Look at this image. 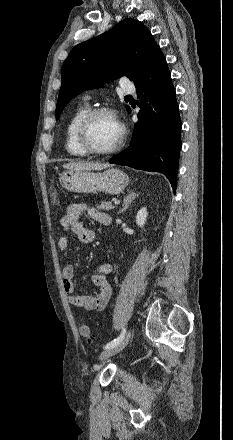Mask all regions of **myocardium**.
Returning a JSON list of instances; mask_svg holds the SVG:
<instances>
[{"label": "myocardium", "mask_w": 233, "mask_h": 440, "mask_svg": "<svg viewBox=\"0 0 233 440\" xmlns=\"http://www.w3.org/2000/svg\"><path fill=\"white\" fill-rule=\"evenodd\" d=\"M110 115L112 116L115 121L117 122L119 128H120V135L119 138L117 140V142L109 149L106 150H99L96 149L94 147H92L88 140H87V135H88V129L90 126V123L92 122V120L99 116V115ZM125 137H126V130L125 127L123 126V124L120 122L117 113L115 112V110L108 108V107H97V108H93L88 110L85 115L82 117V119L80 120L77 130H76V140L78 145L80 146V148L89 155H96V156H107V155H111L114 154L116 152H118L124 142H125Z\"/></svg>", "instance_id": "f54148a6"}]
</instances>
